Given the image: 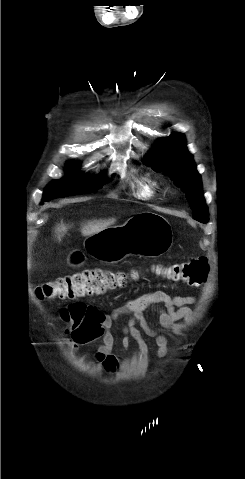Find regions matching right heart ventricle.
<instances>
[{"label": "right heart ventricle", "mask_w": 245, "mask_h": 479, "mask_svg": "<svg viewBox=\"0 0 245 479\" xmlns=\"http://www.w3.org/2000/svg\"><path fill=\"white\" fill-rule=\"evenodd\" d=\"M137 188L139 196L148 199L154 196L158 188V184L154 180L143 179L138 183Z\"/></svg>", "instance_id": "1"}]
</instances>
